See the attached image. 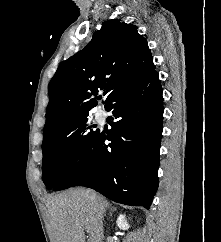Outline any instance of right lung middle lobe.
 <instances>
[{
	"instance_id": "dd1d6c3e",
	"label": "right lung middle lobe",
	"mask_w": 221,
	"mask_h": 242,
	"mask_svg": "<svg viewBox=\"0 0 221 242\" xmlns=\"http://www.w3.org/2000/svg\"><path fill=\"white\" fill-rule=\"evenodd\" d=\"M88 115L43 137L42 174L47 189L54 188L94 140L100 130Z\"/></svg>"
}]
</instances>
